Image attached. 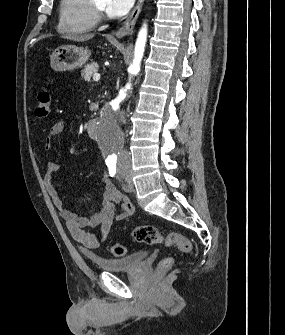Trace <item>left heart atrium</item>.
<instances>
[{"mask_svg": "<svg viewBox=\"0 0 285 335\" xmlns=\"http://www.w3.org/2000/svg\"><path fill=\"white\" fill-rule=\"evenodd\" d=\"M108 15L113 18H119L124 15L134 4V1H102Z\"/></svg>", "mask_w": 285, "mask_h": 335, "instance_id": "39dd6f15", "label": "left heart atrium"}]
</instances>
